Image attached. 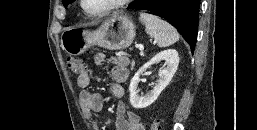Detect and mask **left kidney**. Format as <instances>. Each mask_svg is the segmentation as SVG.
Masks as SVG:
<instances>
[{
	"label": "left kidney",
	"instance_id": "obj_1",
	"mask_svg": "<svg viewBox=\"0 0 257 130\" xmlns=\"http://www.w3.org/2000/svg\"><path fill=\"white\" fill-rule=\"evenodd\" d=\"M164 61L165 65L159 70V79L150 93L145 96H139L138 84L140 82V73L148 69L151 65ZM179 64L178 52L174 49L164 50L155 55L149 62L145 63L133 76L129 91L130 103L134 108L140 109L151 105L158 98L160 93L168 86L172 80Z\"/></svg>",
	"mask_w": 257,
	"mask_h": 130
}]
</instances>
